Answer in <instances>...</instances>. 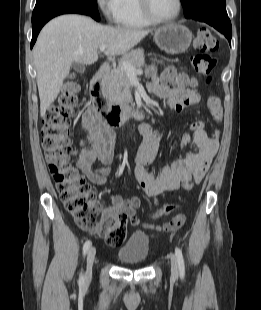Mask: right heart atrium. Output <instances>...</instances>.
Wrapping results in <instances>:
<instances>
[{"instance_id": "1", "label": "right heart atrium", "mask_w": 261, "mask_h": 310, "mask_svg": "<svg viewBox=\"0 0 261 310\" xmlns=\"http://www.w3.org/2000/svg\"><path fill=\"white\" fill-rule=\"evenodd\" d=\"M97 7L109 22H116L119 0H96Z\"/></svg>"}]
</instances>
